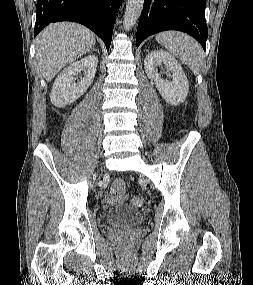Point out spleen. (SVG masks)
I'll use <instances>...</instances> for the list:
<instances>
[{"instance_id": "3e777b00", "label": "spleen", "mask_w": 253, "mask_h": 285, "mask_svg": "<svg viewBox=\"0 0 253 285\" xmlns=\"http://www.w3.org/2000/svg\"><path fill=\"white\" fill-rule=\"evenodd\" d=\"M156 41L178 57L197 75L204 64L201 45L189 35L181 32L166 31L156 35Z\"/></svg>"}]
</instances>
